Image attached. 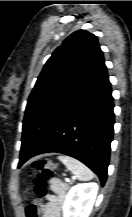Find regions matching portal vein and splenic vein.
<instances>
[{"label":"portal vein and splenic vein","mask_w":132,"mask_h":217,"mask_svg":"<svg viewBox=\"0 0 132 217\" xmlns=\"http://www.w3.org/2000/svg\"><path fill=\"white\" fill-rule=\"evenodd\" d=\"M65 181H66V182H70V179H69V178H65Z\"/></svg>","instance_id":"portal-vein-and-splenic-vein-1"}]
</instances>
